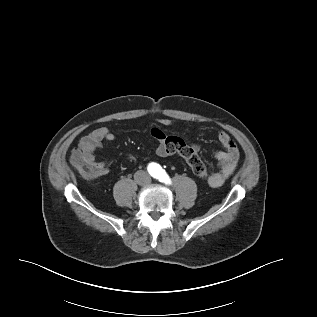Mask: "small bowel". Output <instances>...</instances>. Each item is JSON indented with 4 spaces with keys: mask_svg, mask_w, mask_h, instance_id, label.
<instances>
[{
    "mask_svg": "<svg viewBox=\"0 0 317 317\" xmlns=\"http://www.w3.org/2000/svg\"><path fill=\"white\" fill-rule=\"evenodd\" d=\"M161 126L172 125V120L166 117L156 119ZM153 138L158 142L156 153L160 157H167L178 154V150L187 147L192 148L196 153L199 151L198 145H188L180 137H168L164 132L155 127L151 130ZM116 136L106 127L93 129L89 134L82 137L78 148L72 153V161L75 163L79 158L90 161L96 168V176L101 177L109 173V169L102 163L96 162L94 153L103 147L104 141H114ZM218 140L224 150L216 153L215 158L219 165V171L213 173L208 179V185L212 188L221 186L225 180L234 172L238 160L239 150L236 142L225 132H220Z\"/></svg>",
    "mask_w": 317,
    "mask_h": 317,
    "instance_id": "c3829d8e",
    "label": "small bowel"
}]
</instances>
